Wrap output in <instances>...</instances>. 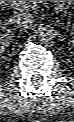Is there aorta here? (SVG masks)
I'll return each instance as SVG.
<instances>
[{
  "label": "aorta",
  "instance_id": "obj_1",
  "mask_svg": "<svg viewBox=\"0 0 74 122\" xmlns=\"http://www.w3.org/2000/svg\"><path fill=\"white\" fill-rule=\"evenodd\" d=\"M38 39L43 44L52 43L56 38V31L50 25H41L37 31Z\"/></svg>",
  "mask_w": 74,
  "mask_h": 122
}]
</instances>
